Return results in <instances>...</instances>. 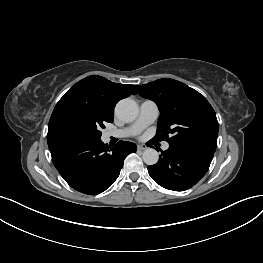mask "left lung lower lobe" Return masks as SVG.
<instances>
[{"mask_svg":"<svg viewBox=\"0 0 263 263\" xmlns=\"http://www.w3.org/2000/svg\"><path fill=\"white\" fill-rule=\"evenodd\" d=\"M157 164L148 166L151 178L160 186L184 191L195 185L208 171L214 151L209 149L169 144L161 151Z\"/></svg>","mask_w":263,"mask_h":263,"instance_id":"left-lung-lower-lobe-1","label":"left lung lower lobe"}]
</instances>
